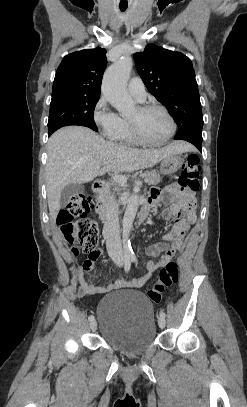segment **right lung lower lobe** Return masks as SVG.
Listing matches in <instances>:
<instances>
[{
  "label": "right lung lower lobe",
  "mask_w": 247,
  "mask_h": 407,
  "mask_svg": "<svg viewBox=\"0 0 247 407\" xmlns=\"http://www.w3.org/2000/svg\"><path fill=\"white\" fill-rule=\"evenodd\" d=\"M53 132H48V136H50Z\"/></svg>",
  "instance_id": "98d812e1"
}]
</instances>
